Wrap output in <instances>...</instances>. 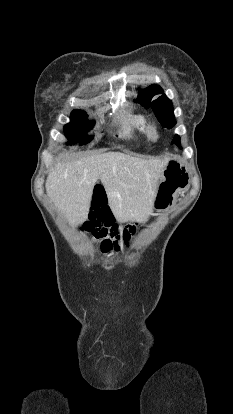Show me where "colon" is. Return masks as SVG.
<instances>
[{
  "label": "colon",
  "instance_id": "obj_1",
  "mask_svg": "<svg viewBox=\"0 0 233 414\" xmlns=\"http://www.w3.org/2000/svg\"><path fill=\"white\" fill-rule=\"evenodd\" d=\"M86 228L92 230L96 238L101 240V251L119 250L127 244L134 233L132 225L120 226L113 220L112 213L90 212Z\"/></svg>",
  "mask_w": 233,
  "mask_h": 414
}]
</instances>
